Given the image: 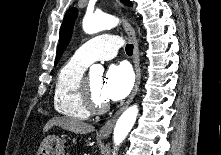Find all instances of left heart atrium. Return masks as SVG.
Masks as SVG:
<instances>
[{
  "mask_svg": "<svg viewBox=\"0 0 221 155\" xmlns=\"http://www.w3.org/2000/svg\"><path fill=\"white\" fill-rule=\"evenodd\" d=\"M133 74L125 63L111 65L102 81V96L106 101L125 98L133 86Z\"/></svg>",
  "mask_w": 221,
  "mask_h": 155,
  "instance_id": "obj_1",
  "label": "left heart atrium"
}]
</instances>
